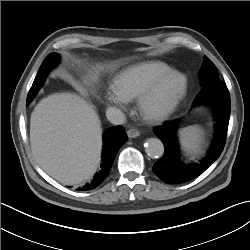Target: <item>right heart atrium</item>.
<instances>
[{"label":"right heart atrium","mask_w":250,"mask_h":250,"mask_svg":"<svg viewBox=\"0 0 250 250\" xmlns=\"http://www.w3.org/2000/svg\"><path fill=\"white\" fill-rule=\"evenodd\" d=\"M104 97L108 105L125 110L129 104V99L117 92L114 88H109L104 92Z\"/></svg>","instance_id":"1"}]
</instances>
